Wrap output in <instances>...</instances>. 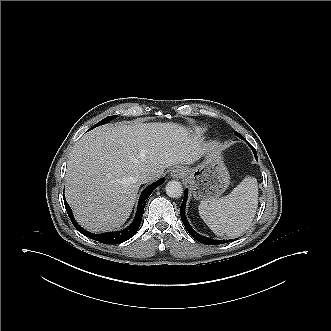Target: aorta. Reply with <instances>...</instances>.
Here are the masks:
<instances>
[{
	"mask_svg": "<svg viewBox=\"0 0 331 331\" xmlns=\"http://www.w3.org/2000/svg\"><path fill=\"white\" fill-rule=\"evenodd\" d=\"M166 194L171 198H180L183 195V186L180 182L171 180L166 184Z\"/></svg>",
	"mask_w": 331,
	"mask_h": 331,
	"instance_id": "aorta-1",
	"label": "aorta"
}]
</instances>
